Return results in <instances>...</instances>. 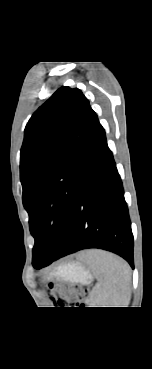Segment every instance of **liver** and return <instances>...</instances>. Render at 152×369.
Segmentation results:
<instances>
[{
  "label": "liver",
  "instance_id": "1",
  "mask_svg": "<svg viewBox=\"0 0 152 369\" xmlns=\"http://www.w3.org/2000/svg\"><path fill=\"white\" fill-rule=\"evenodd\" d=\"M90 254V251L85 254V257H88Z\"/></svg>",
  "mask_w": 152,
  "mask_h": 369
}]
</instances>
